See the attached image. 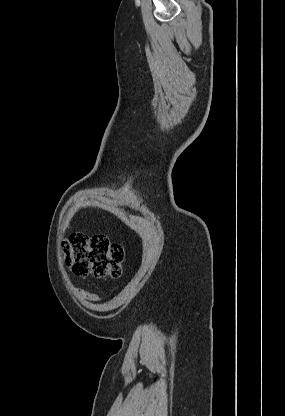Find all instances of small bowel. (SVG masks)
Returning a JSON list of instances; mask_svg holds the SVG:
<instances>
[{
  "label": "small bowel",
  "instance_id": "c3829d8e",
  "mask_svg": "<svg viewBox=\"0 0 285 416\" xmlns=\"http://www.w3.org/2000/svg\"><path fill=\"white\" fill-rule=\"evenodd\" d=\"M80 295L87 301L98 303L100 301V297L96 294L86 292L83 290H80Z\"/></svg>",
  "mask_w": 285,
  "mask_h": 416
}]
</instances>
